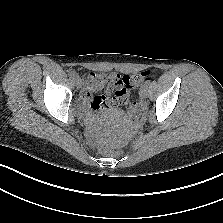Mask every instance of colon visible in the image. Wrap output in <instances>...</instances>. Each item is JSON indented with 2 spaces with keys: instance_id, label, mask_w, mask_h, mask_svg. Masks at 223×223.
I'll list each match as a JSON object with an SVG mask.
<instances>
[{
  "instance_id": "colon-1",
  "label": "colon",
  "mask_w": 223,
  "mask_h": 223,
  "mask_svg": "<svg viewBox=\"0 0 223 223\" xmlns=\"http://www.w3.org/2000/svg\"><path fill=\"white\" fill-rule=\"evenodd\" d=\"M149 79L150 72L145 71L134 75H117L112 81L113 87L115 89V95L119 97L120 103L127 107L128 112L135 120H140L141 110L139 104L136 101L129 100V92L132 89L137 88L144 80Z\"/></svg>"
}]
</instances>
